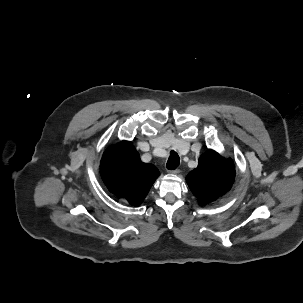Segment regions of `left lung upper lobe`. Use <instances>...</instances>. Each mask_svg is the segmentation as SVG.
<instances>
[{
	"label": "left lung upper lobe",
	"mask_w": 303,
	"mask_h": 303,
	"mask_svg": "<svg viewBox=\"0 0 303 303\" xmlns=\"http://www.w3.org/2000/svg\"><path fill=\"white\" fill-rule=\"evenodd\" d=\"M234 178L233 161L208 150L200 157L197 168L187 175L186 181L200 203L206 205L225 194Z\"/></svg>",
	"instance_id": "1"
}]
</instances>
